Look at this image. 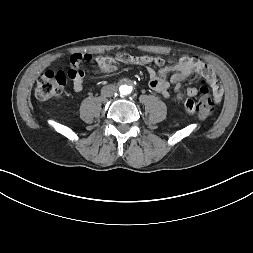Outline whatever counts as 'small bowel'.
<instances>
[{"instance_id":"c3829d8e","label":"small bowel","mask_w":253,"mask_h":253,"mask_svg":"<svg viewBox=\"0 0 253 253\" xmlns=\"http://www.w3.org/2000/svg\"><path fill=\"white\" fill-rule=\"evenodd\" d=\"M89 60L87 54H72L70 61L72 63L86 62ZM119 64H133L145 67L149 75V87L152 91L162 95L165 98L170 96V86L178 92V97L182 98L181 81L188 78L192 74H200L206 84L211 88L214 100L220 103L223 96L221 83L214 76L211 69L200 59L195 57H183L171 66L166 65V61L162 57H153L149 55L132 56L127 53H117L114 56H98L96 58L97 73H111L117 70ZM155 64L160 67L158 71L151 67ZM80 83L83 84V74H79ZM72 88L75 92L83 91L77 89L73 83ZM186 96L181 102V107L185 114L194 115L197 110V101L195 96L198 90L195 87H189L186 90Z\"/></svg>"}]
</instances>
